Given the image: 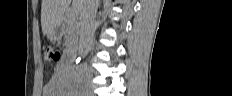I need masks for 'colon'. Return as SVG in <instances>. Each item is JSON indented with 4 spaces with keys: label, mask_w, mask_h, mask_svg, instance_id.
Returning <instances> with one entry per match:
<instances>
[{
    "label": "colon",
    "mask_w": 232,
    "mask_h": 96,
    "mask_svg": "<svg viewBox=\"0 0 232 96\" xmlns=\"http://www.w3.org/2000/svg\"><path fill=\"white\" fill-rule=\"evenodd\" d=\"M46 57L50 62L59 63L61 60V52L54 47H47Z\"/></svg>",
    "instance_id": "colon-1"
}]
</instances>
